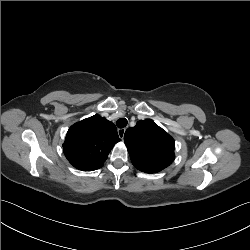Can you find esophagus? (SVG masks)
<instances>
[{
  "label": "esophagus",
  "instance_id": "obj_1",
  "mask_svg": "<svg viewBox=\"0 0 250 250\" xmlns=\"http://www.w3.org/2000/svg\"><path fill=\"white\" fill-rule=\"evenodd\" d=\"M125 131H126L125 128H120V129H118V135H119V137H120L121 139L124 138Z\"/></svg>",
  "mask_w": 250,
  "mask_h": 250
}]
</instances>
